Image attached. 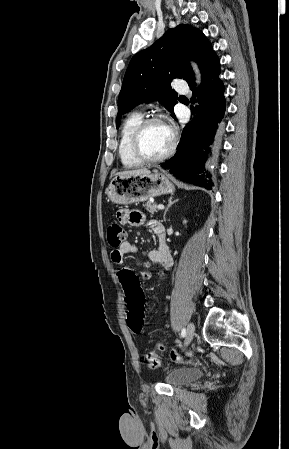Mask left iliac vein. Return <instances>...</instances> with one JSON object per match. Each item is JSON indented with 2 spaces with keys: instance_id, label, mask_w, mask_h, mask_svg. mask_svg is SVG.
Segmentation results:
<instances>
[{
  "instance_id": "4c4485c4",
  "label": "left iliac vein",
  "mask_w": 289,
  "mask_h": 449,
  "mask_svg": "<svg viewBox=\"0 0 289 449\" xmlns=\"http://www.w3.org/2000/svg\"><path fill=\"white\" fill-rule=\"evenodd\" d=\"M195 332V326L192 322H190L187 326L186 338H185V346H188L193 340Z\"/></svg>"
}]
</instances>
